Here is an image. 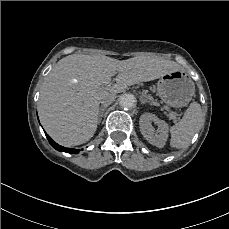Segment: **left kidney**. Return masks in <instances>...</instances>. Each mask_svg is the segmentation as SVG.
Here are the masks:
<instances>
[{"label":"left kidney","instance_id":"left-kidney-1","mask_svg":"<svg viewBox=\"0 0 229 229\" xmlns=\"http://www.w3.org/2000/svg\"><path fill=\"white\" fill-rule=\"evenodd\" d=\"M152 122L157 124V134H154ZM140 130L146 140L158 147L163 148L168 138V124L165 121L158 119L155 115L144 113L139 120Z\"/></svg>","mask_w":229,"mask_h":229}]
</instances>
